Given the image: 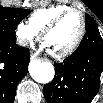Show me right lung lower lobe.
Here are the masks:
<instances>
[{"label":"right lung lower lobe","instance_id":"1","mask_svg":"<svg viewBox=\"0 0 103 103\" xmlns=\"http://www.w3.org/2000/svg\"><path fill=\"white\" fill-rule=\"evenodd\" d=\"M29 49L0 39V103L14 101L17 84L27 73Z\"/></svg>","mask_w":103,"mask_h":103}]
</instances>
